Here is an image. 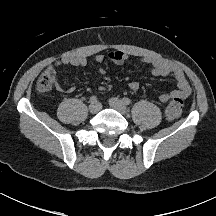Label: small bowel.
Wrapping results in <instances>:
<instances>
[{
  "label": "small bowel",
  "instance_id": "obj_1",
  "mask_svg": "<svg viewBox=\"0 0 216 216\" xmlns=\"http://www.w3.org/2000/svg\"><path fill=\"white\" fill-rule=\"evenodd\" d=\"M105 58L111 62L122 65L128 61L129 55L124 51H112L106 57L102 54L94 56V61L97 64H101ZM142 63L149 65L152 69V73L159 77H172L176 82V89L169 93H161L159 95V100L162 103H167L170 99H185L191 94V88L185 77L184 72L176 65L172 64L170 61L154 56H142L140 58ZM87 64V59L83 56L77 57H66L56 60L47 70L56 72L57 68L61 66H76L83 67ZM100 73L105 74V70L100 68ZM128 87L132 91H137L139 89V83L137 81H131L128 83ZM57 89L61 92H70L72 88L64 87L60 83H57Z\"/></svg>",
  "mask_w": 216,
  "mask_h": 216
}]
</instances>
